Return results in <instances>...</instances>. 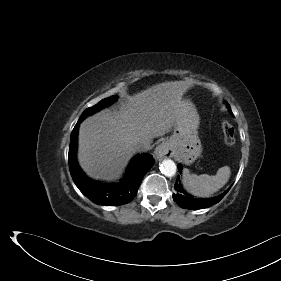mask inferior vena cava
<instances>
[{"mask_svg": "<svg viewBox=\"0 0 281 281\" xmlns=\"http://www.w3.org/2000/svg\"><path fill=\"white\" fill-rule=\"evenodd\" d=\"M136 149H137L139 152H146V151H148V150L151 149L150 142H148V141H142V142H140L139 144H137Z\"/></svg>", "mask_w": 281, "mask_h": 281, "instance_id": "obj_1", "label": "inferior vena cava"}]
</instances>
